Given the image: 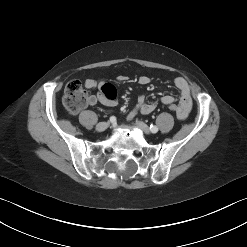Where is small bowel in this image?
<instances>
[{"instance_id":"c3829d8e","label":"small bowel","mask_w":247,"mask_h":247,"mask_svg":"<svg viewBox=\"0 0 247 247\" xmlns=\"http://www.w3.org/2000/svg\"><path fill=\"white\" fill-rule=\"evenodd\" d=\"M126 76H119V81H125ZM150 82L148 76H141L139 78V83L146 85ZM84 85L89 90H97V94H92L87 97V105L93 106L97 103L103 104L105 106L113 107L116 105V95L117 91L114 85L107 83L105 81H97L94 79H87L84 82ZM174 85L179 91V100H178V112L177 117L180 120H184L189 115L192 108V98L191 91L187 81L182 77H177L174 80ZM175 98L171 95H164L161 97V103L164 105H169L174 103ZM156 107L154 102H147L144 95H140L137 99V104L134 109L131 111L129 117L132 118L135 114H149Z\"/></svg>"}]
</instances>
